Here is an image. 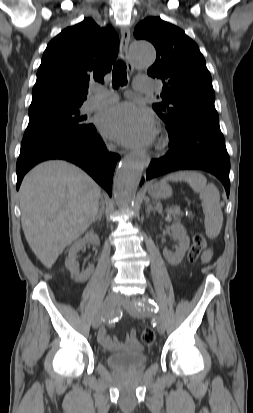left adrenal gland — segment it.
Returning a JSON list of instances; mask_svg holds the SVG:
<instances>
[{"mask_svg":"<svg viewBox=\"0 0 253 413\" xmlns=\"http://www.w3.org/2000/svg\"><path fill=\"white\" fill-rule=\"evenodd\" d=\"M146 204H147L146 213H147V214H150L151 211H154V209L152 208L151 204H149L148 202H147Z\"/></svg>","mask_w":253,"mask_h":413,"instance_id":"a2214340","label":"left adrenal gland"}]
</instances>
